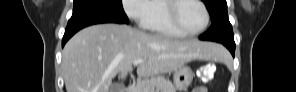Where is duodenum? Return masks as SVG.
<instances>
[{"mask_svg": "<svg viewBox=\"0 0 296 92\" xmlns=\"http://www.w3.org/2000/svg\"><path fill=\"white\" fill-rule=\"evenodd\" d=\"M122 92H135L132 86L126 87L122 90Z\"/></svg>", "mask_w": 296, "mask_h": 92, "instance_id": "410a0bca", "label": "duodenum"}]
</instances>
